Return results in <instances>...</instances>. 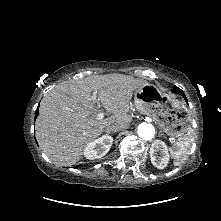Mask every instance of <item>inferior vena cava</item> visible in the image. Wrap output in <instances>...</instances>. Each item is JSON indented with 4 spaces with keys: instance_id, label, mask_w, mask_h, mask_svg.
I'll list each match as a JSON object with an SVG mask.
<instances>
[{
    "instance_id": "inferior-vena-cava-1",
    "label": "inferior vena cava",
    "mask_w": 221,
    "mask_h": 221,
    "mask_svg": "<svg viewBox=\"0 0 221 221\" xmlns=\"http://www.w3.org/2000/svg\"><path fill=\"white\" fill-rule=\"evenodd\" d=\"M127 128L126 125H123V124H110L106 127V130L109 131V132H117V131H120V130H123Z\"/></svg>"
}]
</instances>
